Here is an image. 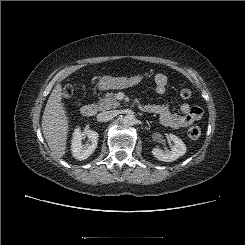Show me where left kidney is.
<instances>
[{
	"mask_svg": "<svg viewBox=\"0 0 245 245\" xmlns=\"http://www.w3.org/2000/svg\"><path fill=\"white\" fill-rule=\"evenodd\" d=\"M169 137L174 142V146L171 150L163 151L160 148L152 149V154L160 161L173 162L186 153L185 143L179 137L174 134H169Z\"/></svg>",
	"mask_w": 245,
	"mask_h": 245,
	"instance_id": "5707ae66",
	"label": "left kidney"
}]
</instances>
